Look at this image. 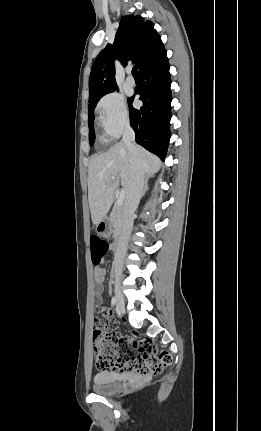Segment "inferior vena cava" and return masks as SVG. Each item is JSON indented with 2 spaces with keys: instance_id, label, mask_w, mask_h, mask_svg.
Here are the masks:
<instances>
[{
  "instance_id": "602c4592",
  "label": "inferior vena cava",
  "mask_w": 261,
  "mask_h": 431,
  "mask_svg": "<svg viewBox=\"0 0 261 431\" xmlns=\"http://www.w3.org/2000/svg\"><path fill=\"white\" fill-rule=\"evenodd\" d=\"M135 141V133L130 125H126L122 142L127 146L130 152V160L132 166V179L130 186L126 192V198L123 208V228L118 240V246L115 253L116 260H122L127 249L129 237L133 227L134 213L138 207L141 197L143 196L145 174L142 163L139 158L138 150ZM122 274V266L118 264L115 269V275L120 277Z\"/></svg>"
}]
</instances>
